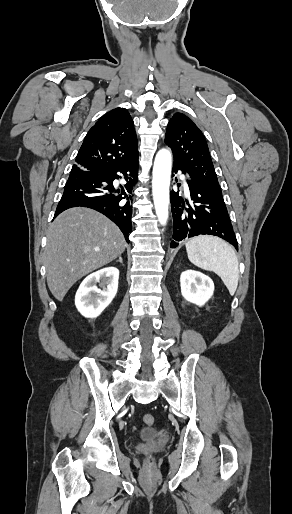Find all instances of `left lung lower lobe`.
Wrapping results in <instances>:
<instances>
[{
	"mask_svg": "<svg viewBox=\"0 0 292 514\" xmlns=\"http://www.w3.org/2000/svg\"><path fill=\"white\" fill-rule=\"evenodd\" d=\"M184 171L173 164V171ZM185 174V173H184ZM190 190L189 199L170 194L173 215V241L170 247L178 246V241L200 234L215 235L223 238L238 250V242L228 215L222 192L202 186L191 179L187 180Z\"/></svg>",
	"mask_w": 292,
	"mask_h": 514,
	"instance_id": "1",
	"label": "left lung lower lobe"
}]
</instances>
